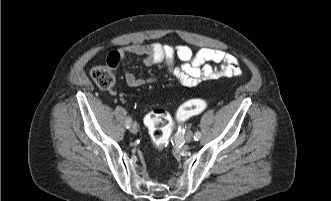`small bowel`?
<instances>
[{"mask_svg": "<svg viewBox=\"0 0 331 201\" xmlns=\"http://www.w3.org/2000/svg\"><path fill=\"white\" fill-rule=\"evenodd\" d=\"M117 56L120 60L130 56L140 57L146 66L164 63L168 72L187 87L196 86L202 81L239 76L242 73L237 58L222 49L202 48L193 52L187 46L154 42L124 46ZM177 60L180 61L179 65L176 64ZM213 63L219 64V67L213 66ZM125 80L130 87H140L156 81V77L141 78L127 70Z\"/></svg>", "mask_w": 331, "mask_h": 201, "instance_id": "small-bowel-1", "label": "small bowel"}]
</instances>
